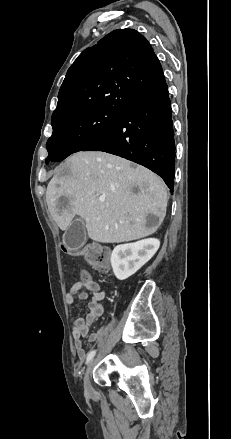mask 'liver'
<instances>
[{
    "instance_id": "1",
    "label": "liver",
    "mask_w": 231,
    "mask_h": 439,
    "mask_svg": "<svg viewBox=\"0 0 231 439\" xmlns=\"http://www.w3.org/2000/svg\"><path fill=\"white\" fill-rule=\"evenodd\" d=\"M46 202L61 230L78 215L92 240L120 243L153 234L166 215L168 197L165 183L152 171L90 151L73 154L58 168L47 186ZM149 214L158 218V225H147Z\"/></svg>"
}]
</instances>
